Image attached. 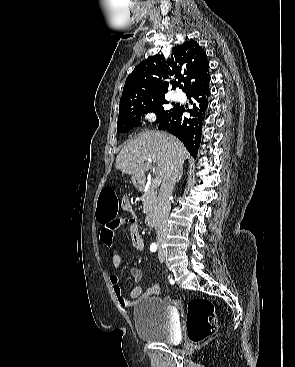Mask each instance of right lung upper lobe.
Returning <instances> with one entry per match:
<instances>
[{"label":"right lung upper lobe","instance_id":"1","mask_svg":"<svg viewBox=\"0 0 295 367\" xmlns=\"http://www.w3.org/2000/svg\"><path fill=\"white\" fill-rule=\"evenodd\" d=\"M208 68L206 53L194 40L174 47L167 62L163 55L148 57L127 77L119 110L129 102L164 96L168 88L174 90L179 87L188 93L210 80ZM167 74L177 80L164 81Z\"/></svg>","mask_w":295,"mask_h":367}]
</instances>
